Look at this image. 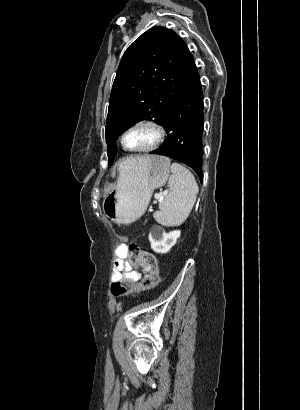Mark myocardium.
<instances>
[{
    "label": "myocardium",
    "mask_w": 300,
    "mask_h": 410,
    "mask_svg": "<svg viewBox=\"0 0 300 410\" xmlns=\"http://www.w3.org/2000/svg\"><path fill=\"white\" fill-rule=\"evenodd\" d=\"M138 127H150L156 134V138L154 142L146 147L142 148H130L125 144V136L135 128ZM166 137V130L165 128L157 121L153 119H140L132 124H130L120 135V143L124 150L132 153H145L151 152L158 149L162 143L164 142Z\"/></svg>",
    "instance_id": "1"
}]
</instances>
